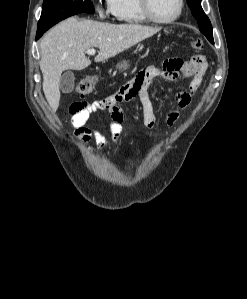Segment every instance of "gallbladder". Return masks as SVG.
Wrapping results in <instances>:
<instances>
[{
  "instance_id": "gallbladder-1",
  "label": "gallbladder",
  "mask_w": 247,
  "mask_h": 299,
  "mask_svg": "<svg viewBox=\"0 0 247 299\" xmlns=\"http://www.w3.org/2000/svg\"><path fill=\"white\" fill-rule=\"evenodd\" d=\"M75 76L73 71L67 70L60 78V89L63 93L67 94L74 89Z\"/></svg>"
}]
</instances>
